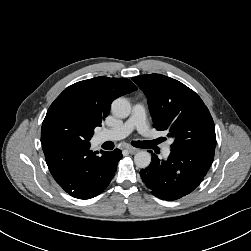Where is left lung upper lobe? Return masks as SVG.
Segmentation results:
<instances>
[{"label":"left lung upper lobe","instance_id":"1","mask_svg":"<svg viewBox=\"0 0 251 251\" xmlns=\"http://www.w3.org/2000/svg\"><path fill=\"white\" fill-rule=\"evenodd\" d=\"M147 97L153 126L168 131L171 149L215 150V126L201 98L181 82L161 74L132 78Z\"/></svg>","mask_w":251,"mask_h":251}]
</instances>
